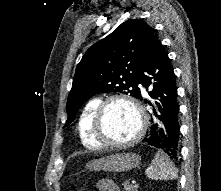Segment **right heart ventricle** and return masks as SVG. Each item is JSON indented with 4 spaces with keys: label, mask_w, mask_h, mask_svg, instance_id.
Returning a JSON list of instances; mask_svg holds the SVG:
<instances>
[{
    "label": "right heart ventricle",
    "mask_w": 221,
    "mask_h": 191,
    "mask_svg": "<svg viewBox=\"0 0 221 191\" xmlns=\"http://www.w3.org/2000/svg\"><path fill=\"white\" fill-rule=\"evenodd\" d=\"M100 102V98H92L88 100L77 121V131L80 141L87 148H100L93 136L94 114Z\"/></svg>",
    "instance_id": "obj_1"
}]
</instances>
